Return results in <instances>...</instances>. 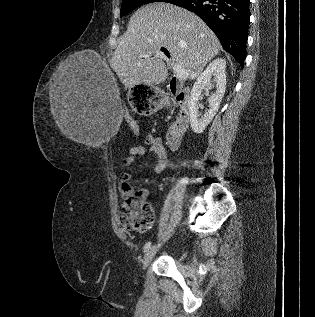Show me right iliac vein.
<instances>
[{
	"label": "right iliac vein",
	"mask_w": 315,
	"mask_h": 317,
	"mask_svg": "<svg viewBox=\"0 0 315 317\" xmlns=\"http://www.w3.org/2000/svg\"><path fill=\"white\" fill-rule=\"evenodd\" d=\"M159 248V245L158 246H153V247H150L146 252H145V255H144V258H143V268H146L149 263L151 262L152 258L154 257V255L156 254L157 250Z\"/></svg>",
	"instance_id": "1"
}]
</instances>
